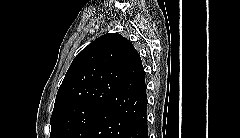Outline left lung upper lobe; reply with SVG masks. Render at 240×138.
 <instances>
[{
    "mask_svg": "<svg viewBox=\"0 0 240 138\" xmlns=\"http://www.w3.org/2000/svg\"><path fill=\"white\" fill-rule=\"evenodd\" d=\"M138 56L119 34L107 33L86 46L58 90L50 138H87Z\"/></svg>",
    "mask_w": 240,
    "mask_h": 138,
    "instance_id": "1",
    "label": "left lung upper lobe"
}]
</instances>
